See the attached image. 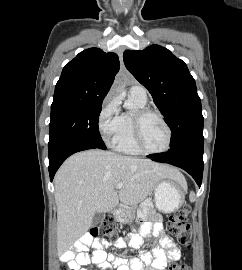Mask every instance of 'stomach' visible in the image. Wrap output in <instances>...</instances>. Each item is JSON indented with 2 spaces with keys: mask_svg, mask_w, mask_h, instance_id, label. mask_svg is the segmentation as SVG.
Masks as SVG:
<instances>
[{
  "mask_svg": "<svg viewBox=\"0 0 242 270\" xmlns=\"http://www.w3.org/2000/svg\"><path fill=\"white\" fill-rule=\"evenodd\" d=\"M186 189V184L174 180H162L157 183L154 190V202L157 209L163 213H172L178 210L184 202ZM126 213L122 210L118 216L124 220Z\"/></svg>",
  "mask_w": 242,
  "mask_h": 270,
  "instance_id": "stomach-1",
  "label": "stomach"
}]
</instances>
